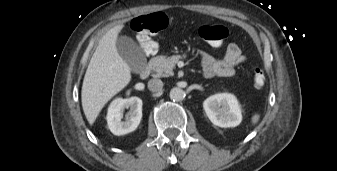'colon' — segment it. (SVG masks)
<instances>
[{"instance_id": "colon-1", "label": "colon", "mask_w": 337, "mask_h": 171, "mask_svg": "<svg viewBox=\"0 0 337 171\" xmlns=\"http://www.w3.org/2000/svg\"><path fill=\"white\" fill-rule=\"evenodd\" d=\"M168 24L167 16L162 13L139 16L133 19L131 29L141 45V52L144 56L153 57L157 54L158 45L151 39V35L166 28ZM199 36L212 45H220L228 37V30L220 25L203 24L199 28ZM252 81L256 88H262L265 85L266 77L261 68L253 70Z\"/></svg>"}]
</instances>
